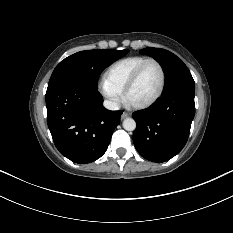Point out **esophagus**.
<instances>
[{
  "label": "esophagus",
  "mask_w": 233,
  "mask_h": 233,
  "mask_svg": "<svg viewBox=\"0 0 233 233\" xmlns=\"http://www.w3.org/2000/svg\"><path fill=\"white\" fill-rule=\"evenodd\" d=\"M129 116H130L129 113L123 112L122 115H121V119H125V118H127V117H129Z\"/></svg>",
  "instance_id": "1"
}]
</instances>
